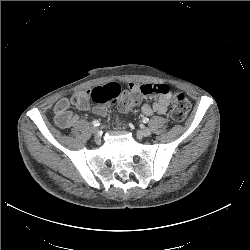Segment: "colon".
I'll use <instances>...</instances> for the list:
<instances>
[{
  "instance_id": "5ec220e1",
  "label": "colon",
  "mask_w": 250,
  "mask_h": 250,
  "mask_svg": "<svg viewBox=\"0 0 250 250\" xmlns=\"http://www.w3.org/2000/svg\"><path fill=\"white\" fill-rule=\"evenodd\" d=\"M92 99L99 104L115 105L120 111L133 109L141 100V93L123 90L116 83L96 87L91 91ZM190 110V102L183 93H176L172 98L170 116L174 121H183Z\"/></svg>"
}]
</instances>
